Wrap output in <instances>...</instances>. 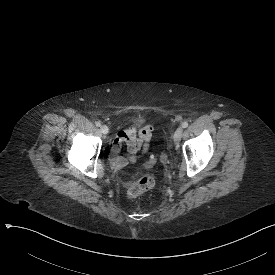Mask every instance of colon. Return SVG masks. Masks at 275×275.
I'll use <instances>...</instances> for the list:
<instances>
[{"label": "colon", "instance_id": "colon-1", "mask_svg": "<svg viewBox=\"0 0 275 275\" xmlns=\"http://www.w3.org/2000/svg\"><path fill=\"white\" fill-rule=\"evenodd\" d=\"M162 152V143L156 142L154 151L151 152V157L149 161H137V168H151L152 165H155L158 160V154ZM137 181L133 184H130L127 189V196L130 198H135L140 194L150 190L154 185L153 176L145 170H140L136 173Z\"/></svg>", "mask_w": 275, "mask_h": 275}]
</instances>
